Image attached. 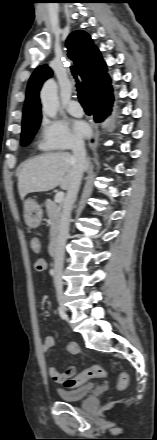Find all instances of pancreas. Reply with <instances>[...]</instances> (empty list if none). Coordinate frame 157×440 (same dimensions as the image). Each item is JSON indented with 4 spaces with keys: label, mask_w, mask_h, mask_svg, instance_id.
<instances>
[{
    "label": "pancreas",
    "mask_w": 157,
    "mask_h": 440,
    "mask_svg": "<svg viewBox=\"0 0 157 440\" xmlns=\"http://www.w3.org/2000/svg\"><path fill=\"white\" fill-rule=\"evenodd\" d=\"M46 212L50 220V243L56 240L60 221H61V211L60 207L50 199L45 201Z\"/></svg>",
    "instance_id": "pancreas-1"
}]
</instances>
